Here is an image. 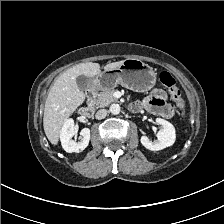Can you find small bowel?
<instances>
[{
  "mask_svg": "<svg viewBox=\"0 0 224 224\" xmlns=\"http://www.w3.org/2000/svg\"><path fill=\"white\" fill-rule=\"evenodd\" d=\"M137 104L139 107L164 118H169L174 113L172 107L166 102L165 92L161 89L154 90L150 96Z\"/></svg>",
  "mask_w": 224,
  "mask_h": 224,
  "instance_id": "small-bowel-1",
  "label": "small bowel"
}]
</instances>
